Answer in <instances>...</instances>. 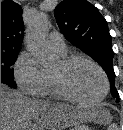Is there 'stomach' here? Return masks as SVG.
I'll return each instance as SVG.
<instances>
[{"instance_id":"1","label":"stomach","mask_w":123,"mask_h":130,"mask_svg":"<svg viewBox=\"0 0 123 130\" xmlns=\"http://www.w3.org/2000/svg\"><path fill=\"white\" fill-rule=\"evenodd\" d=\"M71 130H90L88 126L82 124V123H78V124H74L71 128Z\"/></svg>"}]
</instances>
